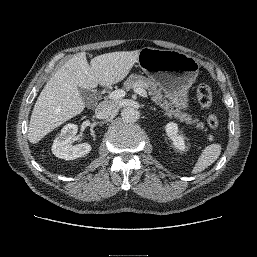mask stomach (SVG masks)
<instances>
[{
  "label": "stomach",
  "instance_id": "0dacf381",
  "mask_svg": "<svg viewBox=\"0 0 257 257\" xmlns=\"http://www.w3.org/2000/svg\"><path fill=\"white\" fill-rule=\"evenodd\" d=\"M137 63L165 91L177 109L189 108L188 92L200 67L196 58L177 50L144 47L139 50Z\"/></svg>",
  "mask_w": 257,
  "mask_h": 257
}]
</instances>
